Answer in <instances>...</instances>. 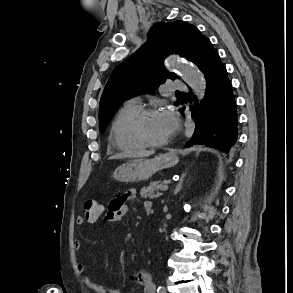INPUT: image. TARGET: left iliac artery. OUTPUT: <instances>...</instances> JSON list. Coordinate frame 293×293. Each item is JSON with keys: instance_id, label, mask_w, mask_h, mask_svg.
<instances>
[{"instance_id": "obj_1", "label": "left iliac artery", "mask_w": 293, "mask_h": 293, "mask_svg": "<svg viewBox=\"0 0 293 293\" xmlns=\"http://www.w3.org/2000/svg\"><path fill=\"white\" fill-rule=\"evenodd\" d=\"M157 292L158 293H166V289L163 286H159L158 289H157Z\"/></svg>"}]
</instances>
